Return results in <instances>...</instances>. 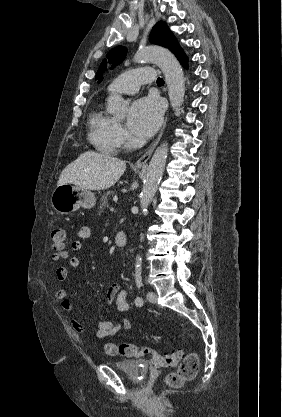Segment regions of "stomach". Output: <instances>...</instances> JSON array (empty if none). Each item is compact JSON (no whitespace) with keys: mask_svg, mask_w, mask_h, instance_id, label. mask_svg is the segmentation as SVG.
Instances as JSON below:
<instances>
[{"mask_svg":"<svg viewBox=\"0 0 282 417\" xmlns=\"http://www.w3.org/2000/svg\"><path fill=\"white\" fill-rule=\"evenodd\" d=\"M95 202L94 192L73 184H60L51 194L53 209L60 215H70L78 209H93Z\"/></svg>","mask_w":282,"mask_h":417,"instance_id":"stomach-1","label":"stomach"}]
</instances>
